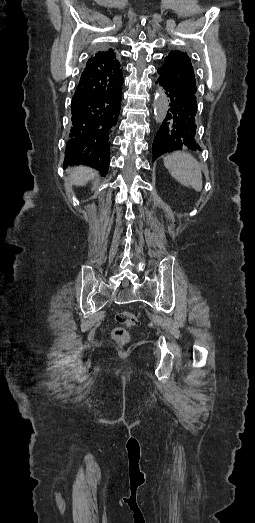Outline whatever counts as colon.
Returning a JSON list of instances; mask_svg holds the SVG:
<instances>
[{
    "label": "colon",
    "mask_w": 255,
    "mask_h": 523,
    "mask_svg": "<svg viewBox=\"0 0 255 523\" xmlns=\"http://www.w3.org/2000/svg\"><path fill=\"white\" fill-rule=\"evenodd\" d=\"M116 322L121 325L112 331L114 341L119 345H125L130 340L128 329L138 323L137 316L130 311H122L116 316Z\"/></svg>",
    "instance_id": "1"
}]
</instances>
